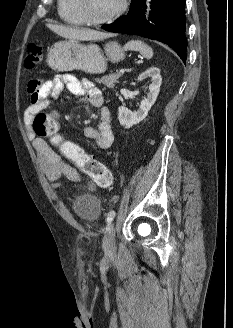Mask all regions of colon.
Instances as JSON below:
<instances>
[{
  "mask_svg": "<svg viewBox=\"0 0 233 328\" xmlns=\"http://www.w3.org/2000/svg\"><path fill=\"white\" fill-rule=\"evenodd\" d=\"M43 57V49L36 43L27 48L24 61L25 68L33 70L38 67ZM33 131L39 138H49L57 150L73 164L88 174L97 185L107 188L112 184V174L109 169L92 158L74 143L64 141L58 135L59 116L56 113L40 111L32 120Z\"/></svg>",
  "mask_w": 233,
  "mask_h": 328,
  "instance_id": "colon-1",
  "label": "colon"
}]
</instances>
